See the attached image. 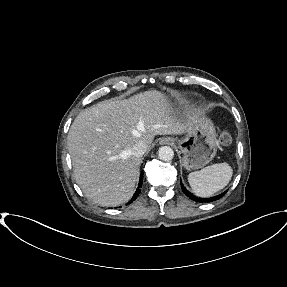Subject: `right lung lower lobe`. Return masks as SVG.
<instances>
[{
  "label": "right lung lower lobe",
  "instance_id": "right-lung-lower-lobe-1",
  "mask_svg": "<svg viewBox=\"0 0 287 287\" xmlns=\"http://www.w3.org/2000/svg\"><path fill=\"white\" fill-rule=\"evenodd\" d=\"M142 183H143V172H141L138 188H137L136 192L134 193L132 199L130 200L129 204L132 203L140 194Z\"/></svg>",
  "mask_w": 287,
  "mask_h": 287
}]
</instances>
